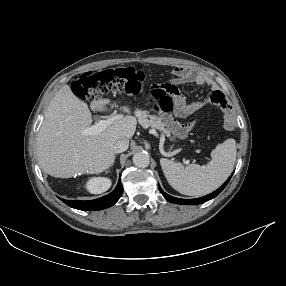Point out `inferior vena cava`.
I'll return each mask as SVG.
<instances>
[{
  "label": "inferior vena cava",
  "mask_w": 286,
  "mask_h": 286,
  "mask_svg": "<svg viewBox=\"0 0 286 286\" xmlns=\"http://www.w3.org/2000/svg\"><path fill=\"white\" fill-rule=\"evenodd\" d=\"M129 145V140L125 138L118 139L113 147L115 153H121L127 150Z\"/></svg>",
  "instance_id": "obj_1"
}]
</instances>
